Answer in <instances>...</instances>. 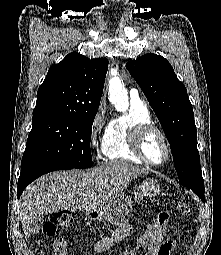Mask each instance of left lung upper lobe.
<instances>
[{
    "mask_svg": "<svg viewBox=\"0 0 221 255\" xmlns=\"http://www.w3.org/2000/svg\"><path fill=\"white\" fill-rule=\"evenodd\" d=\"M126 68L161 123L180 183L203 187L193 108L171 64L162 56L149 53L129 61Z\"/></svg>",
    "mask_w": 221,
    "mask_h": 255,
    "instance_id": "1",
    "label": "left lung upper lobe"
}]
</instances>
